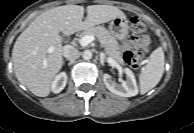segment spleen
<instances>
[{
	"label": "spleen",
	"mask_w": 194,
	"mask_h": 133,
	"mask_svg": "<svg viewBox=\"0 0 194 133\" xmlns=\"http://www.w3.org/2000/svg\"><path fill=\"white\" fill-rule=\"evenodd\" d=\"M164 63V52L159 47L150 54L148 63L141 69L139 75L141 94L147 93L160 82L164 72Z\"/></svg>",
	"instance_id": "1"
}]
</instances>
